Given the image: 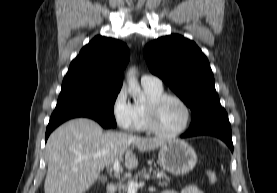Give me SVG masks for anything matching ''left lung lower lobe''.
<instances>
[{"label":"left lung lower lobe","mask_w":277,"mask_h":193,"mask_svg":"<svg viewBox=\"0 0 277 193\" xmlns=\"http://www.w3.org/2000/svg\"><path fill=\"white\" fill-rule=\"evenodd\" d=\"M199 135H212L223 140L233 152L231 125L227 113L212 116L198 125L190 128L181 137H194Z\"/></svg>","instance_id":"obj_1"}]
</instances>
